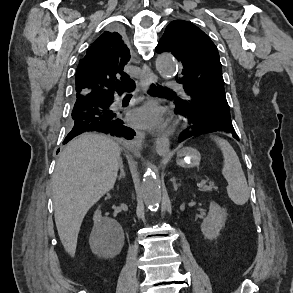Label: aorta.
I'll return each instance as SVG.
<instances>
[{
    "instance_id": "obj_1",
    "label": "aorta",
    "mask_w": 293,
    "mask_h": 293,
    "mask_svg": "<svg viewBox=\"0 0 293 293\" xmlns=\"http://www.w3.org/2000/svg\"><path fill=\"white\" fill-rule=\"evenodd\" d=\"M157 69L163 78H172L176 73V62L171 54H161L156 60ZM142 197L147 206L155 208L162 197L160 180L147 165L142 181Z\"/></svg>"
}]
</instances>
